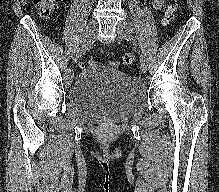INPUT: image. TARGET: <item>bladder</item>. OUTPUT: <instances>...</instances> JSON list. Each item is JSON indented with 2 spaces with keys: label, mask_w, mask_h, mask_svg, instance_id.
<instances>
[{
  "label": "bladder",
  "mask_w": 219,
  "mask_h": 192,
  "mask_svg": "<svg viewBox=\"0 0 219 192\" xmlns=\"http://www.w3.org/2000/svg\"><path fill=\"white\" fill-rule=\"evenodd\" d=\"M143 84L105 64L82 71L69 85L66 99L80 116L93 122H121L145 101Z\"/></svg>",
  "instance_id": "bladder-1"
}]
</instances>
